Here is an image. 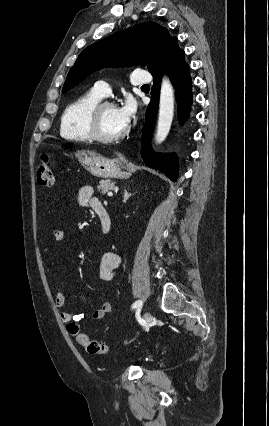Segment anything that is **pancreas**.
<instances>
[{
	"instance_id": "cf45deb5",
	"label": "pancreas",
	"mask_w": 269,
	"mask_h": 426,
	"mask_svg": "<svg viewBox=\"0 0 269 426\" xmlns=\"http://www.w3.org/2000/svg\"><path fill=\"white\" fill-rule=\"evenodd\" d=\"M115 186H116L115 181H111L107 179V180H101L97 188L101 194H105L106 192L115 189Z\"/></svg>"
}]
</instances>
